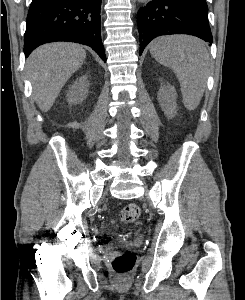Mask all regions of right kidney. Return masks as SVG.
Wrapping results in <instances>:
<instances>
[{
    "label": "right kidney",
    "instance_id": "right-kidney-1",
    "mask_svg": "<svg viewBox=\"0 0 245 300\" xmlns=\"http://www.w3.org/2000/svg\"><path fill=\"white\" fill-rule=\"evenodd\" d=\"M88 86L87 76L78 78L68 92V102L70 104L82 102L87 96Z\"/></svg>",
    "mask_w": 245,
    "mask_h": 300
}]
</instances>
